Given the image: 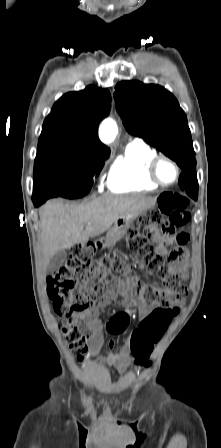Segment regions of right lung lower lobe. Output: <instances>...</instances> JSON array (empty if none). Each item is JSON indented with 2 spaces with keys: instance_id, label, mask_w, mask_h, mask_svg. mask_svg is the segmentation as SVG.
Segmentation results:
<instances>
[{
  "instance_id": "1",
  "label": "right lung lower lobe",
  "mask_w": 221,
  "mask_h": 448,
  "mask_svg": "<svg viewBox=\"0 0 221 448\" xmlns=\"http://www.w3.org/2000/svg\"><path fill=\"white\" fill-rule=\"evenodd\" d=\"M52 198V196L48 194H36L33 193L32 200L35 207L42 205L47 199Z\"/></svg>"
}]
</instances>
